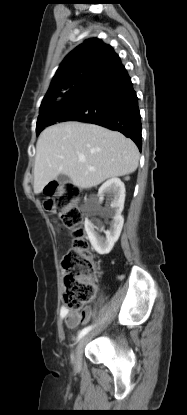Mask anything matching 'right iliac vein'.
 I'll use <instances>...</instances> for the list:
<instances>
[{"label":"right iliac vein","mask_w":187,"mask_h":415,"mask_svg":"<svg viewBox=\"0 0 187 415\" xmlns=\"http://www.w3.org/2000/svg\"><path fill=\"white\" fill-rule=\"evenodd\" d=\"M90 336H91V334L83 336L81 338V340L78 342L77 346H76L75 354H74V363H75L76 366H79L81 364L82 356H83V350H84V347H85L86 343L88 342Z\"/></svg>","instance_id":"right-iliac-vein-1"}]
</instances>
